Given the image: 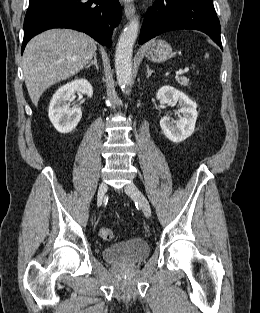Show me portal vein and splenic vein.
<instances>
[{"mask_svg":"<svg viewBox=\"0 0 260 313\" xmlns=\"http://www.w3.org/2000/svg\"><path fill=\"white\" fill-rule=\"evenodd\" d=\"M188 71V68L182 70L180 69L178 72H177V75H182L183 73L187 72Z\"/></svg>","mask_w":260,"mask_h":313,"instance_id":"18ae733b","label":"portal vein and splenic vein"}]
</instances>
